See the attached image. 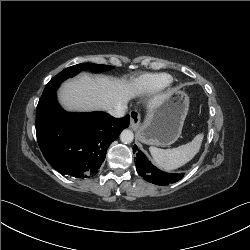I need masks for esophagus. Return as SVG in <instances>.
Masks as SVG:
<instances>
[{
    "label": "esophagus",
    "instance_id": "34e87169",
    "mask_svg": "<svg viewBox=\"0 0 250 250\" xmlns=\"http://www.w3.org/2000/svg\"><path fill=\"white\" fill-rule=\"evenodd\" d=\"M141 115L137 110L130 112V127L132 130H137L140 125Z\"/></svg>",
    "mask_w": 250,
    "mask_h": 250
}]
</instances>
